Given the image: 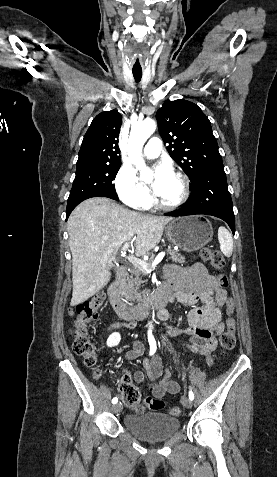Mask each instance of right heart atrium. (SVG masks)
<instances>
[{
    "mask_svg": "<svg viewBox=\"0 0 277 477\" xmlns=\"http://www.w3.org/2000/svg\"><path fill=\"white\" fill-rule=\"evenodd\" d=\"M115 188L120 200L134 209H147L152 204V195L140 182L134 170L122 166L115 177Z\"/></svg>",
    "mask_w": 277,
    "mask_h": 477,
    "instance_id": "d8ad5b80",
    "label": "right heart atrium"
}]
</instances>
